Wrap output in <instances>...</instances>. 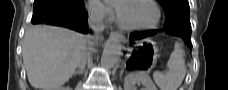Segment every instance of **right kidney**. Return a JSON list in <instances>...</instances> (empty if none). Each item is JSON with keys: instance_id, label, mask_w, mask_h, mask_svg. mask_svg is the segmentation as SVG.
I'll return each mask as SVG.
<instances>
[{"instance_id": "obj_1", "label": "right kidney", "mask_w": 228, "mask_h": 90, "mask_svg": "<svg viewBox=\"0 0 228 90\" xmlns=\"http://www.w3.org/2000/svg\"><path fill=\"white\" fill-rule=\"evenodd\" d=\"M56 90H71L69 87L57 88Z\"/></svg>"}]
</instances>
